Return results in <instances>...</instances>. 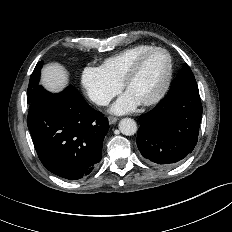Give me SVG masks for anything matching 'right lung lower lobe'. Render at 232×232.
<instances>
[{"label":"right lung lower lobe","instance_id":"98d812e1","mask_svg":"<svg viewBox=\"0 0 232 232\" xmlns=\"http://www.w3.org/2000/svg\"><path fill=\"white\" fill-rule=\"evenodd\" d=\"M27 124L40 161L57 176L84 178L101 161L108 120L74 87L57 94L42 88L29 103Z\"/></svg>","mask_w":232,"mask_h":232}]
</instances>
